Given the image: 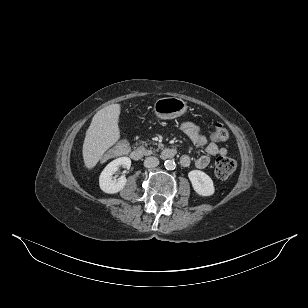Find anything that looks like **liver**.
Masks as SVG:
<instances>
[{"instance_id":"obj_1","label":"liver","mask_w":308,"mask_h":308,"mask_svg":"<svg viewBox=\"0 0 308 308\" xmlns=\"http://www.w3.org/2000/svg\"><path fill=\"white\" fill-rule=\"evenodd\" d=\"M120 111L119 104H112L94 115L83 143L82 153L86 168H94L107 149L119 140Z\"/></svg>"}]
</instances>
